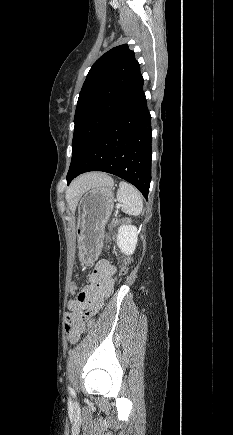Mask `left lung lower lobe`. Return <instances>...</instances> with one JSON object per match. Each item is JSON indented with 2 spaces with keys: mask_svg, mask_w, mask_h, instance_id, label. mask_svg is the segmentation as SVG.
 I'll use <instances>...</instances> for the list:
<instances>
[{
  "mask_svg": "<svg viewBox=\"0 0 233 435\" xmlns=\"http://www.w3.org/2000/svg\"><path fill=\"white\" fill-rule=\"evenodd\" d=\"M151 141V116L143 93L69 168L68 184L84 172L104 171L130 182L147 199L151 181Z\"/></svg>",
  "mask_w": 233,
  "mask_h": 435,
  "instance_id": "obj_1",
  "label": "left lung lower lobe"
}]
</instances>
